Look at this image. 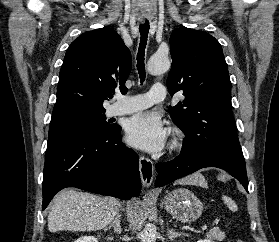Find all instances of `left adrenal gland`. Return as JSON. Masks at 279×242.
<instances>
[{
  "label": "left adrenal gland",
  "instance_id": "1",
  "mask_svg": "<svg viewBox=\"0 0 279 242\" xmlns=\"http://www.w3.org/2000/svg\"><path fill=\"white\" fill-rule=\"evenodd\" d=\"M167 235H168V238L170 240H173L175 239L176 237L178 236H188L187 233H183V232H176L174 229H169V227L167 228Z\"/></svg>",
  "mask_w": 279,
  "mask_h": 242
}]
</instances>
